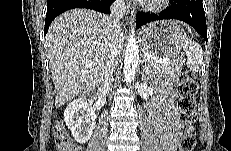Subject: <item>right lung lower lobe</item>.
Masks as SVG:
<instances>
[{
	"label": "right lung lower lobe",
	"instance_id": "98d812e1",
	"mask_svg": "<svg viewBox=\"0 0 231 151\" xmlns=\"http://www.w3.org/2000/svg\"><path fill=\"white\" fill-rule=\"evenodd\" d=\"M114 1L115 0H48L44 35H46L53 19L67 10L74 8H86L110 14V5Z\"/></svg>",
	"mask_w": 231,
	"mask_h": 151
}]
</instances>
